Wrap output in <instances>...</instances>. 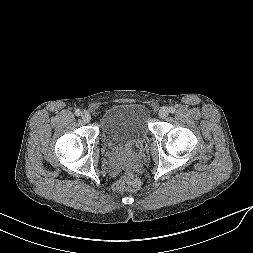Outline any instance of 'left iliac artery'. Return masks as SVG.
<instances>
[{
  "label": "left iliac artery",
  "instance_id": "left-iliac-artery-1",
  "mask_svg": "<svg viewBox=\"0 0 253 253\" xmlns=\"http://www.w3.org/2000/svg\"><path fill=\"white\" fill-rule=\"evenodd\" d=\"M175 110H176V108H175L174 106H170V107H169V112H170V113H174Z\"/></svg>",
  "mask_w": 253,
  "mask_h": 253
}]
</instances>
